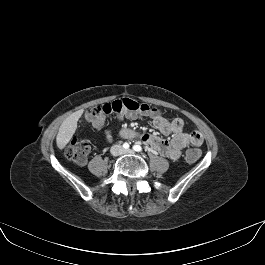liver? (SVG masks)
Instances as JSON below:
<instances>
[{
    "label": "liver",
    "mask_w": 265,
    "mask_h": 265,
    "mask_svg": "<svg viewBox=\"0 0 265 265\" xmlns=\"http://www.w3.org/2000/svg\"><path fill=\"white\" fill-rule=\"evenodd\" d=\"M82 113V110L76 111L62 122L56 137V143L59 149L65 148V146L73 137L77 129V122L81 117Z\"/></svg>",
    "instance_id": "liver-1"
}]
</instances>
